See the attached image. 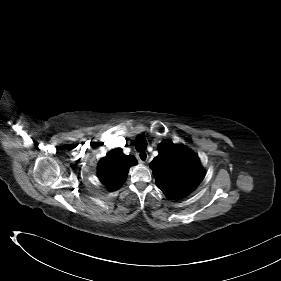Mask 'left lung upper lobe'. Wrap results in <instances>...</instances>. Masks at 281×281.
I'll return each instance as SVG.
<instances>
[{"label":"left lung upper lobe","instance_id":"obj_1","mask_svg":"<svg viewBox=\"0 0 281 281\" xmlns=\"http://www.w3.org/2000/svg\"><path fill=\"white\" fill-rule=\"evenodd\" d=\"M150 167L156 184L170 198H183L203 180L205 172L196 154L183 145L164 140Z\"/></svg>","mask_w":281,"mask_h":281}]
</instances>
